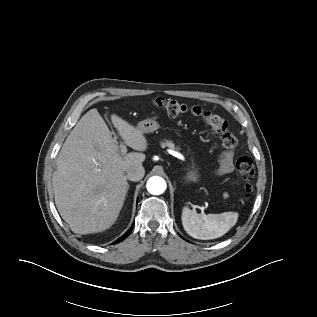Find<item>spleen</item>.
<instances>
[{"label": "spleen", "instance_id": "1", "mask_svg": "<svg viewBox=\"0 0 317 317\" xmlns=\"http://www.w3.org/2000/svg\"><path fill=\"white\" fill-rule=\"evenodd\" d=\"M185 231L196 239H215L226 234L237 222V212H223L219 214H198L184 207L181 215Z\"/></svg>", "mask_w": 317, "mask_h": 317}]
</instances>
